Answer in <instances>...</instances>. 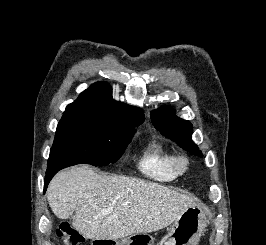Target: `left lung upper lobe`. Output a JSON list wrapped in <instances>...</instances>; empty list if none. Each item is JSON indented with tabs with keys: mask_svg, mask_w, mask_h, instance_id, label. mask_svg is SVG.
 <instances>
[{
	"mask_svg": "<svg viewBox=\"0 0 266 245\" xmlns=\"http://www.w3.org/2000/svg\"><path fill=\"white\" fill-rule=\"evenodd\" d=\"M151 120L154 127L176 142L184 150L193 155L202 157V152L191 141L193 126L189 121L183 120L175 116L170 107H161L151 113Z\"/></svg>",
	"mask_w": 266,
	"mask_h": 245,
	"instance_id": "5c2ea615",
	"label": "left lung upper lobe"
}]
</instances>
